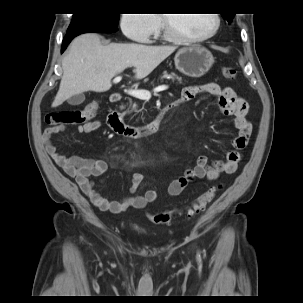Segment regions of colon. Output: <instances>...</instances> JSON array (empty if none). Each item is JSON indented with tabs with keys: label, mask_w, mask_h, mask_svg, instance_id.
<instances>
[{
	"label": "colon",
	"mask_w": 303,
	"mask_h": 303,
	"mask_svg": "<svg viewBox=\"0 0 303 303\" xmlns=\"http://www.w3.org/2000/svg\"><path fill=\"white\" fill-rule=\"evenodd\" d=\"M222 74L229 80H233L237 77V71L233 67H223ZM98 108V102L92 101L81 110L50 111L45 115V123L49 126L86 123L91 121ZM217 190V187H210L207 189L186 208L185 215L190 218L203 212L213 201ZM173 216L174 214L172 212H162L149 214L148 218L155 224H165L168 223Z\"/></svg>",
	"instance_id": "5ec220e1"
}]
</instances>
